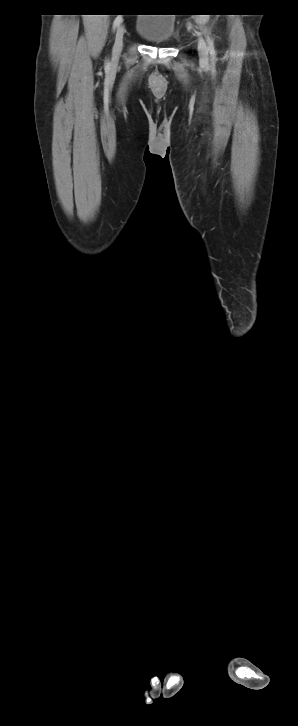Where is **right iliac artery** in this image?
Returning a JSON list of instances; mask_svg holds the SVG:
<instances>
[{
  "label": "right iliac artery",
  "instance_id": "obj_1",
  "mask_svg": "<svg viewBox=\"0 0 298 726\" xmlns=\"http://www.w3.org/2000/svg\"><path fill=\"white\" fill-rule=\"evenodd\" d=\"M121 22H122V17L121 16L116 17L114 20V23H113V27L116 28L117 26L120 25Z\"/></svg>",
  "mask_w": 298,
  "mask_h": 726
}]
</instances>
